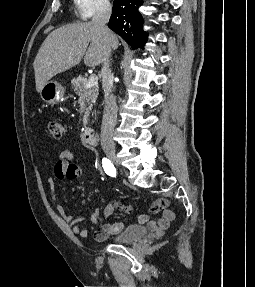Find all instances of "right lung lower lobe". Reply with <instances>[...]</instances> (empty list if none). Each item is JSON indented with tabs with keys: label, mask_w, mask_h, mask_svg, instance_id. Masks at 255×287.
Here are the masks:
<instances>
[{
	"label": "right lung lower lobe",
	"mask_w": 255,
	"mask_h": 287,
	"mask_svg": "<svg viewBox=\"0 0 255 287\" xmlns=\"http://www.w3.org/2000/svg\"><path fill=\"white\" fill-rule=\"evenodd\" d=\"M142 0H115L108 27L120 35L132 49L143 48L147 39L138 10Z\"/></svg>",
	"instance_id": "1"
}]
</instances>
